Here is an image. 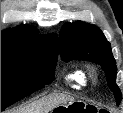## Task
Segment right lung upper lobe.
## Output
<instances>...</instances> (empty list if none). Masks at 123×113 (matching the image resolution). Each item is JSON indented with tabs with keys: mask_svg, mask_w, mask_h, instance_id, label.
Masks as SVG:
<instances>
[{
	"mask_svg": "<svg viewBox=\"0 0 123 113\" xmlns=\"http://www.w3.org/2000/svg\"><path fill=\"white\" fill-rule=\"evenodd\" d=\"M34 47L44 45L58 54V39L56 34L41 35L33 27L21 25L9 28L1 33V46Z\"/></svg>",
	"mask_w": 123,
	"mask_h": 113,
	"instance_id": "1",
	"label": "right lung upper lobe"
}]
</instances>
